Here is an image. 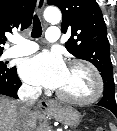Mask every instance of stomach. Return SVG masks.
<instances>
[{
  "mask_svg": "<svg viewBox=\"0 0 117 131\" xmlns=\"http://www.w3.org/2000/svg\"><path fill=\"white\" fill-rule=\"evenodd\" d=\"M47 116L54 118L58 122L75 128L81 120L80 113L72 107L58 105L46 113Z\"/></svg>",
  "mask_w": 117,
  "mask_h": 131,
  "instance_id": "stomach-1",
  "label": "stomach"
}]
</instances>
